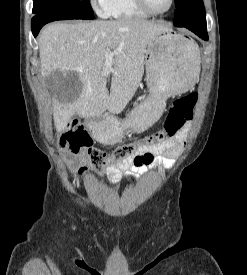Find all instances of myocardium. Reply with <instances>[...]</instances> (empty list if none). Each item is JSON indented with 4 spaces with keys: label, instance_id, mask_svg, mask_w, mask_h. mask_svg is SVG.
<instances>
[{
    "label": "myocardium",
    "instance_id": "myocardium-1",
    "mask_svg": "<svg viewBox=\"0 0 247 275\" xmlns=\"http://www.w3.org/2000/svg\"><path fill=\"white\" fill-rule=\"evenodd\" d=\"M138 7L143 10L145 13H147L148 15H152V16H161L164 14H167L168 12H170L175 4V0H170V5L169 7L164 10V11H154L147 3L146 0H135Z\"/></svg>",
    "mask_w": 247,
    "mask_h": 275
}]
</instances>
